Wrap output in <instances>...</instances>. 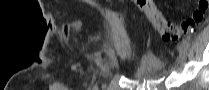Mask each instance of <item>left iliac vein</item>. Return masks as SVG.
<instances>
[{
    "label": "left iliac vein",
    "mask_w": 209,
    "mask_h": 90,
    "mask_svg": "<svg viewBox=\"0 0 209 90\" xmlns=\"http://www.w3.org/2000/svg\"><path fill=\"white\" fill-rule=\"evenodd\" d=\"M178 52L182 61H185L187 58L188 48L183 43H181L178 45Z\"/></svg>",
    "instance_id": "4c4485c4"
}]
</instances>
